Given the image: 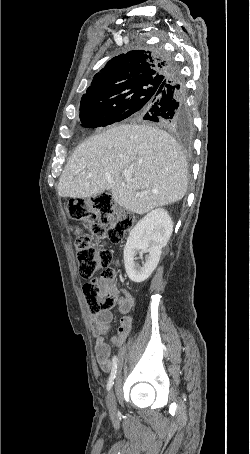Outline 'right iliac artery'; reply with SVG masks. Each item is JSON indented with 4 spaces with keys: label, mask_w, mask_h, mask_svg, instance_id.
<instances>
[{
    "label": "right iliac artery",
    "mask_w": 250,
    "mask_h": 454,
    "mask_svg": "<svg viewBox=\"0 0 250 454\" xmlns=\"http://www.w3.org/2000/svg\"><path fill=\"white\" fill-rule=\"evenodd\" d=\"M117 365H118V357L114 356L113 357V366H112L111 373H110L108 383H107L108 390H110L114 384V379H115L116 372H117Z\"/></svg>",
    "instance_id": "1"
}]
</instances>
